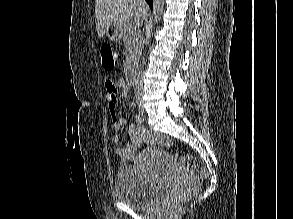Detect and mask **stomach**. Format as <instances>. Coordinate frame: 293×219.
Instances as JSON below:
<instances>
[{
  "mask_svg": "<svg viewBox=\"0 0 293 219\" xmlns=\"http://www.w3.org/2000/svg\"><path fill=\"white\" fill-rule=\"evenodd\" d=\"M105 33L110 40L118 41L125 35L126 27L120 24H112L106 29Z\"/></svg>",
  "mask_w": 293,
  "mask_h": 219,
  "instance_id": "1",
  "label": "stomach"
}]
</instances>
